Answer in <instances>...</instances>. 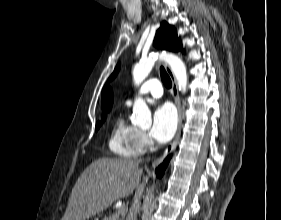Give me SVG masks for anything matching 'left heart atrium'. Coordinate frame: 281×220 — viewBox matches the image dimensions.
I'll return each mask as SVG.
<instances>
[{
    "instance_id": "39dd6f15",
    "label": "left heart atrium",
    "mask_w": 281,
    "mask_h": 220,
    "mask_svg": "<svg viewBox=\"0 0 281 220\" xmlns=\"http://www.w3.org/2000/svg\"><path fill=\"white\" fill-rule=\"evenodd\" d=\"M177 115L172 106L165 104L158 107L153 116L150 135L159 143L168 142L177 129Z\"/></svg>"
}]
</instances>
